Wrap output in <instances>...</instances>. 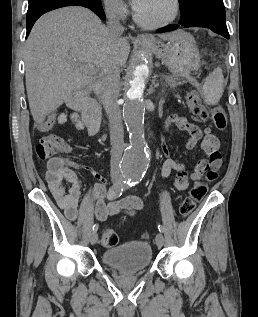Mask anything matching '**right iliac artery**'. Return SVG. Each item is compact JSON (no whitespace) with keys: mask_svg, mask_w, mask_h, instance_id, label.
Wrapping results in <instances>:
<instances>
[{"mask_svg":"<svg viewBox=\"0 0 258 317\" xmlns=\"http://www.w3.org/2000/svg\"><path fill=\"white\" fill-rule=\"evenodd\" d=\"M132 187L130 179H126L118 184H115L109 188L107 198L108 200H114L122 195V193L128 188ZM92 230L95 232L98 230V224H94Z\"/></svg>","mask_w":258,"mask_h":317,"instance_id":"right-iliac-artery-1","label":"right iliac artery"}]
</instances>
